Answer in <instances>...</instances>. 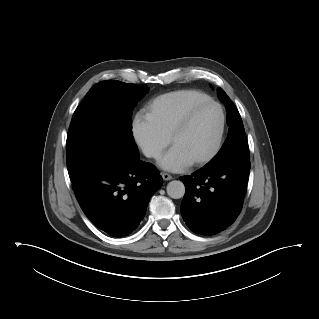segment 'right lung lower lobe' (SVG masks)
Returning <instances> with one entry per match:
<instances>
[{
  "label": "right lung lower lobe",
  "instance_id": "1",
  "mask_svg": "<svg viewBox=\"0 0 319 319\" xmlns=\"http://www.w3.org/2000/svg\"><path fill=\"white\" fill-rule=\"evenodd\" d=\"M87 218L112 237L128 236L143 220L162 177L139 154L109 152L71 179Z\"/></svg>",
  "mask_w": 319,
  "mask_h": 319
}]
</instances>
